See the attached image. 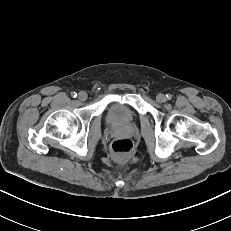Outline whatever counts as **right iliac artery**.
Returning a JSON list of instances; mask_svg holds the SVG:
<instances>
[{
    "instance_id": "1",
    "label": "right iliac artery",
    "mask_w": 231,
    "mask_h": 231,
    "mask_svg": "<svg viewBox=\"0 0 231 231\" xmlns=\"http://www.w3.org/2000/svg\"><path fill=\"white\" fill-rule=\"evenodd\" d=\"M77 96V93L76 92H72L71 93V97L75 98Z\"/></svg>"
}]
</instances>
